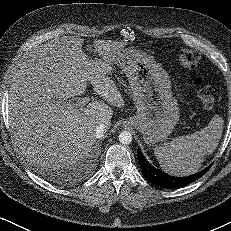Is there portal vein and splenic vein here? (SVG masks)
Masks as SVG:
<instances>
[{"mask_svg": "<svg viewBox=\"0 0 231 231\" xmlns=\"http://www.w3.org/2000/svg\"><path fill=\"white\" fill-rule=\"evenodd\" d=\"M89 101H90L89 97L75 98L73 101L68 102V106L81 108L84 105H86ZM59 103H61V102H59Z\"/></svg>", "mask_w": 231, "mask_h": 231, "instance_id": "portal-vein-and-splenic-vein-1", "label": "portal vein and splenic vein"}]
</instances>
